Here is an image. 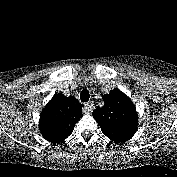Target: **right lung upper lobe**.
I'll return each mask as SVG.
<instances>
[{
	"instance_id": "1",
	"label": "right lung upper lobe",
	"mask_w": 177,
	"mask_h": 177,
	"mask_svg": "<svg viewBox=\"0 0 177 177\" xmlns=\"http://www.w3.org/2000/svg\"><path fill=\"white\" fill-rule=\"evenodd\" d=\"M82 116V105L76 98L55 94L40 114L39 128L43 138L54 144L63 142Z\"/></svg>"
}]
</instances>
